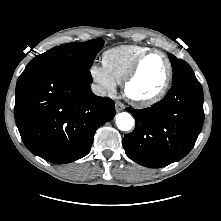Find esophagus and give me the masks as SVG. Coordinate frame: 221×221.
I'll list each match as a JSON object with an SVG mask.
<instances>
[{"mask_svg":"<svg viewBox=\"0 0 221 221\" xmlns=\"http://www.w3.org/2000/svg\"><path fill=\"white\" fill-rule=\"evenodd\" d=\"M125 109V105L122 102L117 101L115 103V110L116 112H121Z\"/></svg>","mask_w":221,"mask_h":221,"instance_id":"esophagus-1","label":"esophagus"}]
</instances>
